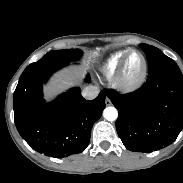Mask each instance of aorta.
I'll return each mask as SVG.
<instances>
[{
    "instance_id": "aorta-1",
    "label": "aorta",
    "mask_w": 183,
    "mask_h": 183,
    "mask_svg": "<svg viewBox=\"0 0 183 183\" xmlns=\"http://www.w3.org/2000/svg\"><path fill=\"white\" fill-rule=\"evenodd\" d=\"M103 116L108 121H114L118 117V111L115 107H107L103 111Z\"/></svg>"
}]
</instances>
